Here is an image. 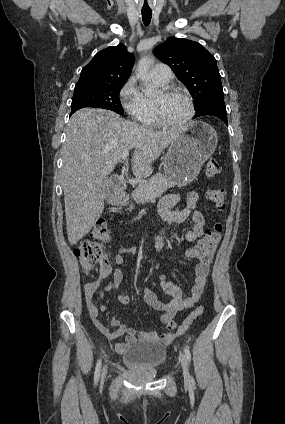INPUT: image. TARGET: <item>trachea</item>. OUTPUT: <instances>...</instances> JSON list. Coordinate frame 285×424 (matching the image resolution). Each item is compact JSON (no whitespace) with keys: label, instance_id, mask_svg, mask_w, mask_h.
Masks as SVG:
<instances>
[{"label":"trachea","instance_id":"1","mask_svg":"<svg viewBox=\"0 0 285 424\" xmlns=\"http://www.w3.org/2000/svg\"><path fill=\"white\" fill-rule=\"evenodd\" d=\"M142 13V20L145 26H148L151 22V18H152V11L148 10V11H141Z\"/></svg>","mask_w":285,"mask_h":424}]
</instances>
